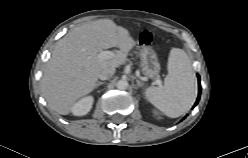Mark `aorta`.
<instances>
[{
    "label": "aorta",
    "instance_id": "obj_1",
    "mask_svg": "<svg viewBox=\"0 0 248 158\" xmlns=\"http://www.w3.org/2000/svg\"><path fill=\"white\" fill-rule=\"evenodd\" d=\"M116 86H117L118 89L124 90V89H127L128 88L129 83H128V81L126 79H120L116 83Z\"/></svg>",
    "mask_w": 248,
    "mask_h": 158
}]
</instances>
